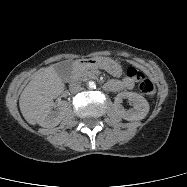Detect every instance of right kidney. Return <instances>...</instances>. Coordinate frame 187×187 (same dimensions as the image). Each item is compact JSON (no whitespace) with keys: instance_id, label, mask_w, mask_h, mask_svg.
Here are the masks:
<instances>
[{"instance_id":"right-kidney-1","label":"right kidney","mask_w":187,"mask_h":187,"mask_svg":"<svg viewBox=\"0 0 187 187\" xmlns=\"http://www.w3.org/2000/svg\"><path fill=\"white\" fill-rule=\"evenodd\" d=\"M45 110L44 114L38 121V123L44 128H52L57 126L66 112V106L63 103H60L55 110H51L52 106Z\"/></svg>"}]
</instances>
